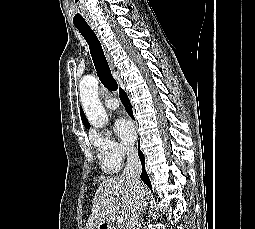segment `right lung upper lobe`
<instances>
[{
  "mask_svg": "<svg viewBox=\"0 0 255 229\" xmlns=\"http://www.w3.org/2000/svg\"><path fill=\"white\" fill-rule=\"evenodd\" d=\"M80 114H81V120H82V122H83L84 127H85L86 129H89V128H90V124H89V122H88V120H87V118H86V116H85L83 110H80Z\"/></svg>",
  "mask_w": 255,
  "mask_h": 229,
  "instance_id": "1",
  "label": "right lung upper lobe"
}]
</instances>
